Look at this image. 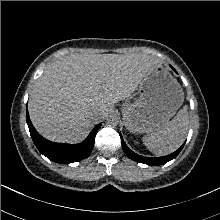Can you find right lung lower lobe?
I'll return each instance as SVG.
<instances>
[{"label":"right lung lower lobe","instance_id":"right-lung-lower-lobe-1","mask_svg":"<svg viewBox=\"0 0 220 220\" xmlns=\"http://www.w3.org/2000/svg\"><path fill=\"white\" fill-rule=\"evenodd\" d=\"M26 120L32 140L38 150L50 160L63 164L77 162L87 157L93 149L95 136L101 127V124H98L82 143L70 145L51 142L38 134L30 121L28 110Z\"/></svg>","mask_w":220,"mask_h":220}]
</instances>
